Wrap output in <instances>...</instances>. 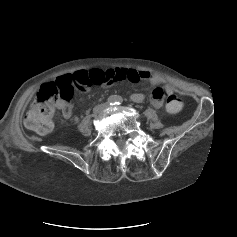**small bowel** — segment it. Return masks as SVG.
Returning <instances> with one entry per match:
<instances>
[{
    "label": "small bowel",
    "mask_w": 237,
    "mask_h": 237,
    "mask_svg": "<svg viewBox=\"0 0 237 237\" xmlns=\"http://www.w3.org/2000/svg\"><path fill=\"white\" fill-rule=\"evenodd\" d=\"M105 76V82L102 85L110 86L118 81L138 82L140 80H147L153 85H162L156 88L151 96V104L155 108H160L166 97L170 96L174 88L166 82V80L156 74L147 71H139L135 69L125 68H111L106 71H101ZM136 103H141L144 100V95L141 93H134L131 96ZM57 108L61 110L64 117L69 118L72 114V105L66 102H59Z\"/></svg>",
    "instance_id": "1"
}]
</instances>
